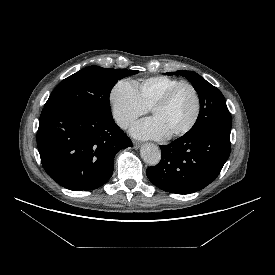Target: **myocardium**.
Segmentation results:
<instances>
[{
	"label": "myocardium",
	"instance_id": "myocardium-1",
	"mask_svg": "<svg viewBox=\"0 0 275 275\" xmlns=\"http://www.w3.org/2000/svg\"><path fill=\"white\" fill-rule=\"evenodd\" d=\"M183 87H187L189 88L194 96H195V101H196V109H195V113L193 115V118L191 119V121L181 130L174 132L172 134H169L167 136V138L169 139H175V138H179L184 136L185 134L189 133L197 124L200 115H201V110H202V102H201V97L200 94L198 92V90L196 89V87L194 85H192L189 82H181L177 85H175L174 87L170 88L157 102H155L153 104V106L150 108V112L152 113L153 111L157 110V109H161L166 107L170 101L172 100L173 96L176 94V92L183 88Z\"/></svg>",
	"mask_w": 275,
	"mask_h": 275
}]
</instances>
